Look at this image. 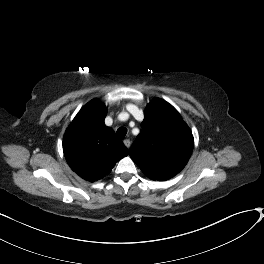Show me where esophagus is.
Listing matches in <instances>:
<instances>
[{"instance_id": "esophagus-1", "label": "esophagus", "mask_w": 264, "mask_h": 264, "mask_svg": "<svg viewBox=\"0 0 264 264\" xmlns=\"http://www.w3.org/2000/svg\"><path fill=\"white\" fill-rule=\"evenodd\" d=\"M123 142H124L126 147H130L131 141L129 139H125Z\"/></svg>"}]
</instances>
